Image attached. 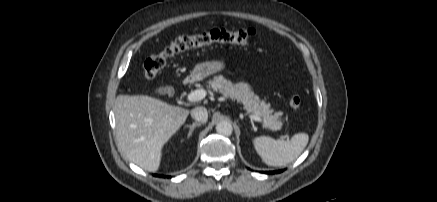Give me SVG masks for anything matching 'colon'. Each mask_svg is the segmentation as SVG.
Returning <instances> with one entry per match:
<instances>
[{
  "mask_svg": "<svg viewBox=\"0 0 437 202\" xmlns=\"http://www.w3.org/2000/svg\"><path fill=\"white\" fill-rule=\"evenodd\" d=\"M254 34L255 31L253 29L227 30L217 28L196 35L179 36L166 44L158 53L149 56L144 61V76L148 79L156 77L165 67L167 59L177 53L213 43L246 44ZM289 105L293 109H299L302 105L301 97L298 95L291 96L289 98Z\"/></svg>",
  "mask_w": 437,
  "mask_h": 202,
  "instance_id": "5ec220e1",
  "label": "colon"
}]
</instances>
